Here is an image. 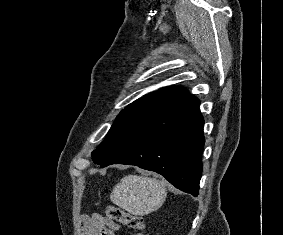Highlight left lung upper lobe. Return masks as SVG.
<instances>
[{
	"label": "left lung upper lobe",
	"mask_w": 283,
	"mask_h": 235,
	"mask_svg": "<svg viewBox=\"0 0 283 235\" xmlns=\"http://www.w3.org/2000/svg\"><path fill=\"white\" fill-rule=\"evenodd\" d=\"M188 96L186 89L169 87L134 101L120 112L105 140L93 151L94 163H104L115 149L151 119Z\"/></svg>",
	"instance_id": "left-lung-upper-lobe-1"
}]
</instances>
